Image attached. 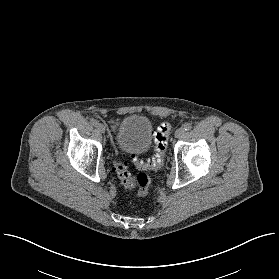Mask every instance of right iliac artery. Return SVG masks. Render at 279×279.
Returning a JSON list of instances; mask_svg holds the SVG:
<instances>
[{
	"label": "right iliac artery",
	"mask_w": 279,
	"mask_h": 279,
	"mask_svg": "<svg viewBox=\"0 0 279 279\" xmlns=\"http://www.w3.org/2000/svg\"><path fill=\"white\" fill-rule=\"evenodd\" d=\"M90 123L92 124V125H97L98 124V122L96 121V120H94V119H92L91 121H90Z\"/></svg>",
	"instance_id": "obj_1"
}]
</instances>
